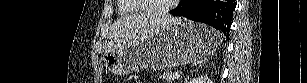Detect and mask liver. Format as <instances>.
Segmentation results:
<instances>
[{
    "instance_id": "liver-1",
    "label": "liver",
    "mask_w": 307,
    "mask_h": 83,
    "mask_svg": "<svg viewBox=\"0 0 307 83\" xmlns=\"http://www.w3.org/2000/svg\"><path fill=\"white\" fill-rule=\"evenodd\" d=\"M179 21L180 18L145 13L123 17L113 26L106 52L136 43L160 28Z\"/></svg>"
}]
</instances>
